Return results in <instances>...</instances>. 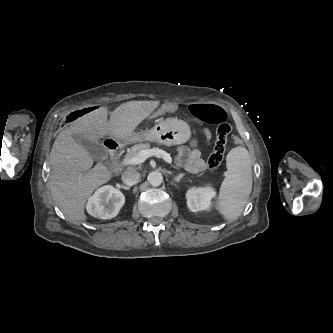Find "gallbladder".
I'll list each match as a JSON object with an SVG mask.
<instances>
[{"label": "gallbladder", "mask_w": 333, "mask_h": 333, "mask_svg": "<svg viewBox=\"0 0 333 333\" xmlns=\"http://www.w3.org/2000/svg\"><path fill=\"white\" fill-rule=\"evenodd\" d=\"M75 141L83 146L93 157L94 160H105L108 156L107 150L97 141L87 135L75 134Z\"/></svg>", "instance_id": "obj_1"}]
</instances>
